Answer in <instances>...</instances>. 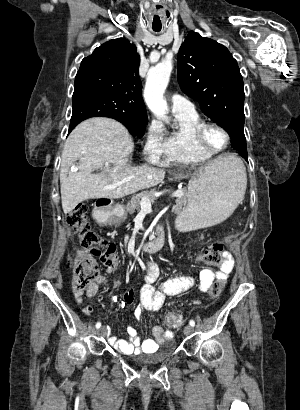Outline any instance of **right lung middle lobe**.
I'll list each match as a JSON object with an SVG mask.
<instances>
[{"label":"right lung middle lobe","mask_w":300,"mask_h":410,"mask_svg":"<svg viewBox=\"0 0 300 410\" xmlns=\"http://www.w3.org/2000/svg\"><path fill=\"white\" fill-rule=\"evenodd\" d=\"M73 112L69 132L81 121L94 117L105 116L121 122L131 134L141 137L147 124V119H132L113 113L114 103L102 90L93 86H75L72 97Z\"/></svg>","instance_id":"obj_1"}]
</instances>
